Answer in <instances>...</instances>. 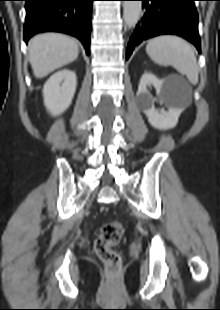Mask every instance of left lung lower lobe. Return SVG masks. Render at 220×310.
<instances>
[{"instance_id": "1", "label": "left lung lower lobe", "mask_w": 220, "mask_h": 310, "mask_svg": "<svg viewBox=\"0 0 220 310\" xmlns=\"http://www.w3.org/2000/svg\"><path fill=\"white\" fill-rule=\"evenodd\" d=\"M140 1H143L144 14L130 38L126 59L142 41L163 34L181 36L194 44L199 53L201 52L195 0Z\"/></svg>"}]
</instances>
